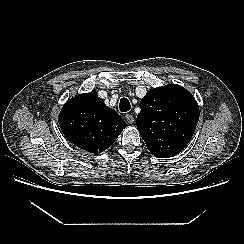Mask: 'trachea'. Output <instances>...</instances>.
<instances>
[{"label": "trachea", "instance_id": "obj_1", "mask_svg": "<svg viewBox=\"0 0 244 244\" xmlns=\"http://www.w3.org/2000/svg\"><path fill=\"white\" fill-rule=\"evenodd\" d=\"M119 108L121 112H127L131 109V104L127 98H121L119 103Z\"/></svg>", "mask_w": 244, "mask_h": 244}]
</instances>
